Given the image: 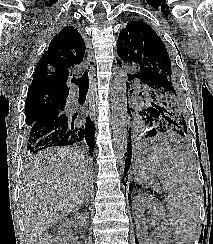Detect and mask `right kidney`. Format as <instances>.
<instances>
[{
  "instance_id": "ca27d5eb",
  "label": "right kidney",
  "mask_w": 213,
  "mask_h": 244,
  "mask_svg": "<svg viewBox=\"0 0 213 244\" xmlns=\"http://www.w3.org/2000/svg\"><path fill=\"white\" fill-rule=\"evenodd\" d=\"M76 219L79 221L80 224H82V225L86 224V217L84 215H82V216L79 215V216H77Z\"/></svg>"
}]
</instances>
